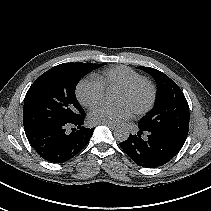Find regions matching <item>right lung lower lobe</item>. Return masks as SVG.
Returning <instances> with one entry per match:
<instances>
[{
  "label": "right lung lower lobe",
  "instance_id": "98d812e1",
  "mask_svg": "<svg viewBox=\"0 0 211 211\" xmlns=\"http://www.w3.org/2000/svg\"><path fill=\"white\" fill-rule=\"evenodd\" d=\"M84 116L66 124L24 128L28 141L44 160L62 163L77 155L89 142L94 128L83 127ZM69 128L73 131L70 132Z\"/></svg>",
  "mask_w": 211,
  "mask_h": 211
}]
</instances>
